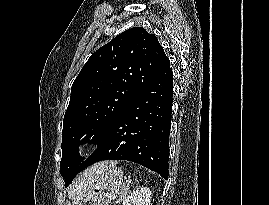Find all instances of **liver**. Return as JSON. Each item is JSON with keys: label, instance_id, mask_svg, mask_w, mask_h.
Segmentation results:
<instances>
[{"label": "liver", "instance_id": "6515ba94", "mask_svg": "<svg viewBox=\"0 0 269 205\" xmlns=\"http://www.w3.org/2000/svg\"><path fill=\"white\" fill-rule=\"evenodd\" d=\"M115 165L116 163L112 161L100 162L80 174L69 188V198L75 199L76 197L85 194L92 187L98 175L109 168L115 167Z\"/></svg>", "mask_w": 269, "mask_h": 205}]
</instances>
